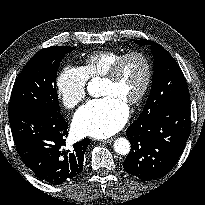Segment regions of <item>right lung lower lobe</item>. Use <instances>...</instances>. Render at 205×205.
<instances>
[{
    "label": "right lung lower lobe",
    "mask_w": 205,
    "mask_h": 205,
    "mask_svg": "<svg viewBox=\"0 0 205 205\" xmlns=\"http://www.w3.org/2000/svg\"><path fill=\"white\" fill-rule=\"evenodd\" d=\"M13 139L23 163L40 180L58 185L76 177L83 169L86 138L65 149L68 123L32 108L9 110Z\"/></svg>",
    "instance_id": "right-lung-lower-lobe-1"
}]
</instances>
